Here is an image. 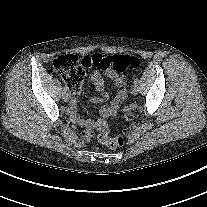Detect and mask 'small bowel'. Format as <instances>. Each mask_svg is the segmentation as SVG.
<instances>
[{"mask_svg": "<svg viewBox=\"0 0 207 207\" xmlns=\"http://www.w3.org/2000/svg\"><path fill=\"white\" fill-rule=\"evenodd\" d=\"M105 77L112 80L116 92L111 96L110 102L107 105H103L100 109V115L103 118L111 117L117 114L119 107L123 100L127 97L126 81L125 78L113 70H108L105 73ZM91 80L94 83L96 90L100 93V97L90 99V103H104L109 100V94L106 90V84L103 75L98 70H95L91 74ZM76 91H71L72 97L70 98L69 112L73 122L78 123L80 126L87 130L97 128V121L91 119H81L77 114L76 106Z\"/></svg>", "mask_w": 207, "mask_h": 207, "instance_id": "obj_1", "label": "small bowel"}]
</instances>
